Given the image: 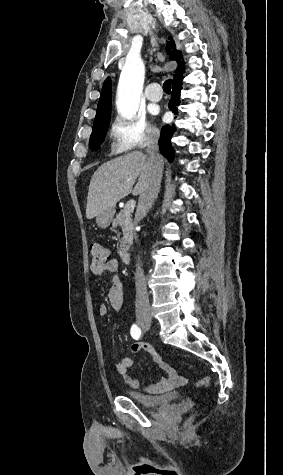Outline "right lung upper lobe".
<instances>
[{
    "label": "right lung upper lobe",
    "instance_id": "right-lung-upper-lobe-1",
    "mask_svg": "<svg viewBox=\"0 0 283 475\" xmlns=\"http://www.w3.org/2000/svg\"><path fill=\"white\" fill-rule=\"evenodd\" d=\"M169 42L167 44L166 50L168 51V54L170 55V59L176 60L178 62L179 67L177 68L178 71H175V74L173 77H177L178 75L182 74L184 72V64L181 61V52L177 51L175 49V44L174 41L171 37H169ZM103 105H111V80L110 78H107L103 84L102 91H101V96L100 100L98 103L99 106Z\"/></svg>",
    "mask_w": 283,
    "mask_h": 475
}]
</instances>
